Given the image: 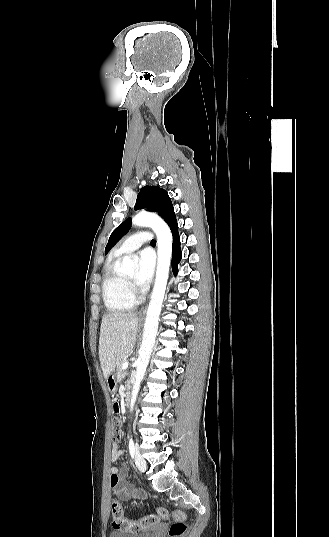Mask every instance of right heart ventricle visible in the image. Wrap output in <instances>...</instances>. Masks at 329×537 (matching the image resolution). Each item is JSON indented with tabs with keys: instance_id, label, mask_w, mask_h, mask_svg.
<instances>
[{
	"instance_id": "obj_1",
	"label": "right heart ventricle",
	"mask_w": 329,
	"mask_h": 537,
	"mask_svg": "<svg viewBox=\"0 0 329 537\" xmlns=\"http://www.w3.org/2000/svg\"><path fill=\"white\" fill-rule=\"evenodd\" d=\"M119 254H114L104 269L102 280V296L106 308L111 313H121L131 310L135 300L129 292L123 275L117 269Z\"/></svg>"
}]
</instances>
